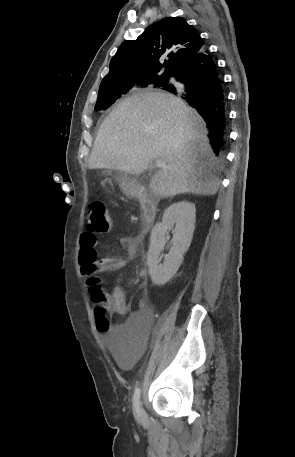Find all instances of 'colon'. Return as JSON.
<instances>
[{
	"label": "colon",
	"mask_w": 295,
	"mask_h": 457,
	"mask_svg": "<svg viewBox=\"0 0 295 457\" xmlns=\"http://www.w3.org/2000/svg\"><path fill=\"white\" fill-rule=\"evenodd\" d=\"M86 227L93 233L108 232L111 227L110 218L108 216L104 203L100 200H92L87 207ZM82 274L87 277L93 293L95 302V319L100 332L106 333L110 328V323L107 318L108 306L106 296L99 286L97 277V268L95 265L84 262L82 265Z\"/></svg>",
	"instance_id": "5ec220e1"
}]
</instances>
